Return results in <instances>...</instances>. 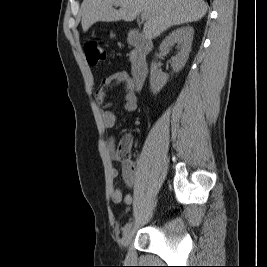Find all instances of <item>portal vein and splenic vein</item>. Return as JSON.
<instances>
[{
    "instance_id": "portal-vein-and-splenic-vein-1",
    "label": "portal vein and splenic vein",
    "mask_w": 267,
    "mask_h": 267,
    "mask_svg": "<svg viewBox=\"0 0 267 267\" xmlns=\"http://www.w3.org/2000/svg\"><path fill=\"white\" fill-rule=\"evenodd\" d=\"M146 18H147L146 13H141V19H142V20H145Z\"/></svg>"
}]
</instances>
